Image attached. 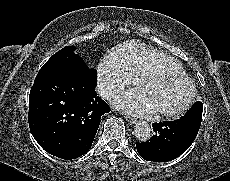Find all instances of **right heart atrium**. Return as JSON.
Returning <instances> with one entry per match:
<instances>
[{
  "instance_id": "obj_1",
  "label": "right heart atrium",
  "mask_w": 230,
  "mask_h": 181,
  "mask_svg": "<svg viewBox=\"0 0 230 181\" xmlns=\"http://www.w3.org/2000/svg\"><path fill=\"white\" fill-rule=\"evenodd\" d=\"M98 87L101 93L107 97H112L127 86L136 83V77L129 70L113 65L106 57L102 60L97 69Z\"/></svg>"
}]
</instances>
